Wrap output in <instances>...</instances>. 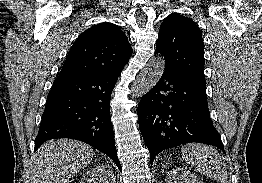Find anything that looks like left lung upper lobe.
<instances>
[{
	"instance_id": "5c2ea615",
	"label": "left lung upper lobe",
	"mask_w": 262,
	"mask_h": 183,
	"mask_svg": "<svg viewBox=\"0 0 262 183\" xmlns=\"http://www.w3.org/2000/svg\"><path fill=\"white\" fill-rule=\"evenodd\" d=\"M155 53L164 56L166 68L206 85L202 33L193 20L177 13L167 16L160 26Z\"/></svg>"
}]
</instances>
